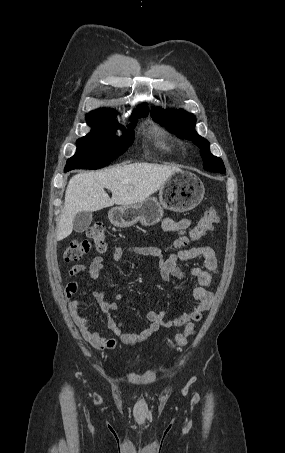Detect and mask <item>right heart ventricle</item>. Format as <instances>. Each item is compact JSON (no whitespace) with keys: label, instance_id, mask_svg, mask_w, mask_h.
Here are the masks:
<instances>
[{"label":"right heart ventricle","instance_id":"right-heart-ventricle-1","mask_svg":"<svg viewBox=\"0 0 285 453\" xmlns=\"http://www.w3.org/2000/svg\"><path fill=\"white\" fill-rule=\"evenodd\" d=\"M157 145L165 150H170L172 146L161 138L157 139Z\"/></svg>","mask_w":285,"mask_h":453}]
</instances>
